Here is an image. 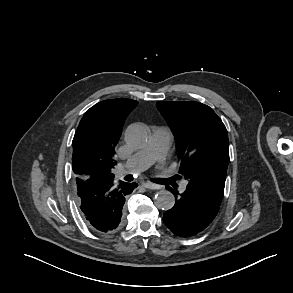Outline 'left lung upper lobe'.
<instances>
[{
  "mask_svg": "<svg viewBox=\"0 0 293 293\" xmlns=\"http://www.w3.org/2000/svg\"><path fill=\"white\" fill-rule=\"evenodd\" d=\"M156 105L174 130L179 173L188 185L221 202L229 148L227 130L220 118L199 102L163 101Z\"/></svg>",
  "mask_w": 293,
  "mask_h": 293,
  "instance_id": "obj_1",
  "label": "left lung upper lobe"
}]
</instances>
